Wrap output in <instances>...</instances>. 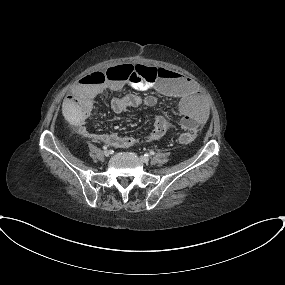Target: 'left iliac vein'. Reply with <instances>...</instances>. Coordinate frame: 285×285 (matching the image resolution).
Masks as SVG:
<instances>
[{
  "label": "left iliac vein",
  "instance_id": "1",
  "mask_svg": "<svg viewBox=\"0 0 285 285\" xmlns=\"http://www.w3.org/2000/svg\"><path fill=\"white\" fill-rule=\"evenodd\" d=\"M140 160H141L143 163H148V162H149V158L146 157V156H141V157H140Z\"/></svg>",
  "mask_w": 285,
  "mask_h": 285
}]
</instances>
